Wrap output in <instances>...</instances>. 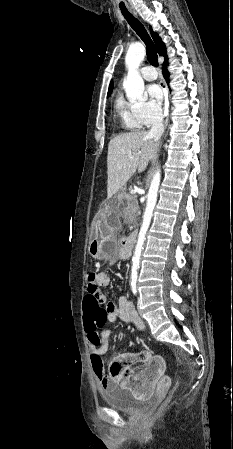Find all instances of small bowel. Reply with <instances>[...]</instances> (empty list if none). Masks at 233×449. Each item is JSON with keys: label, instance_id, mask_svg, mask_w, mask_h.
Listing matches in <instances>:
<instances>
[{"label": "small bowel", "instance_id": "small-bowel-1", "mask_svg": "<svg viewBox=\"0 0 233 449\" xmlns=\"http://www.w3.org/2000/svg\"><path fill=\"white\" fill-rule=\"evenodd\" d=\"M126 255L122 249L119 257L123 258ZM86 289L90 296H97L98 301L101 296V306L107 308V318L109 322L122 320L134 324L138 329L144 327L143 321L138 317L134 310V306L129 297L122 295L115 303L109 301L103 295V287H107L111 278L107 272L101 270H88L86 276ZM88 346L90 349V360L102 390L111 388L125 379H129V388L134 390V399H150L151 394H159L160 386L158 385V377H164V364L158 363L161 361L160 355L154 356V361L157 363H149L151 355L149 352L136 353L126 351L117 356L109 366V372H106L103 357L106 355L109 347V331L105 328H85ZM100 329V330H99ZM139 362L141 367L139 375H133L134 369L128 365V362Z\"/></svg>", "mask_w": 233, "mask_h": 449}]
</instances>
